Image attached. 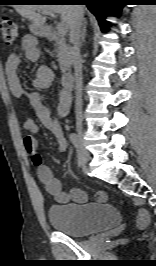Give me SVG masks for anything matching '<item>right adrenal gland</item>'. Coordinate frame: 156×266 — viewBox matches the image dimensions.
Instances as JSON below:
<instances>
[{
	"label": "right adrenal gland",
	"mask_w": 156,
	"mask_h": 266,
	"mask_svg": "<svg viewBox=\"0 0 156 266\" xmlns=\"http://www.w3.org/2000/svg\"><path fill=\"white\" fill-rule=\"evenodd\" d=\"M86 26H87V21L84 20L82 24V32H81V44L84 42L85 36H86Z\"/></svg>",
	"instance_id": "right-adrenal-gland-1"
}]
</instances>
